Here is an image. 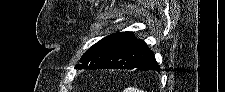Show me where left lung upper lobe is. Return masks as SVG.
Listing matches in <instances>:
<instances>
[{"instance_id":"5c2ea615","label":"left lung upper lobe","mask_w":225,"mask_h":92,"mask_svg":"<svg viewBox=\"0 0 225 92\" xmlns=\"http://www.w3.org/2000/svg\"><path fill=\"white\" fill-rule=\"evenodd\" d=\"M136 37L132 32H116L104 37L86 51L80 59L78 69H95L105 59L123 46L131 43Z\"/></svg>"}]
</instances>
